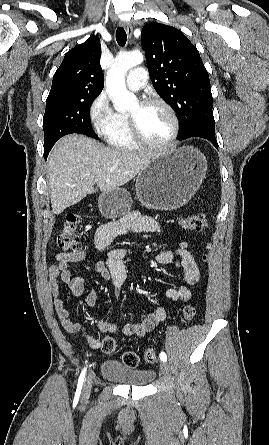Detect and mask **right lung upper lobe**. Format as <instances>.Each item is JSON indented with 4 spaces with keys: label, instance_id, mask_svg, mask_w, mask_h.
Masks as SVG:
<instances>
[{
    "label": "right lung upper lobe",
    "instance_id": "cb5924a9",
    "mask_svg": "<svg viewBox=\"0 0 269 445\" xmlns=\"http://www.w3.org/2000/svg\"><path fill=\"white\" fill-rule=\"evenodd\" d=\"M100 56V39L94 35L67 52L53 76L48 97L99 95L104 86Z\"/></svg>",
    "mask_w": 269,
    "mask_h": 445
}]
</instances>
